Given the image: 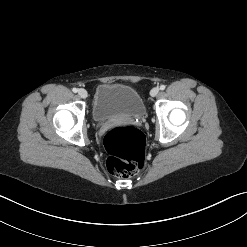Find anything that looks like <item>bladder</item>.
I'll return each instance as SVG.
<instances>
[{
    "label": "bladder",
    "instance_id": "31cf9c89",
    "mask_svg": "<svg viewBox=\"0 0 247 247\" xmlns=\"http://www.w3.org/2000/svg\"><path fill=\"white\" fill-rule=\"evenodd\" d=\"M146 108L140 94L131 86L103 83L97 86L92 118L100 123L115 118H141Z\"/></svg>",
    "mask_w": 247,
    "mask_h": 247
}]
</instances>
